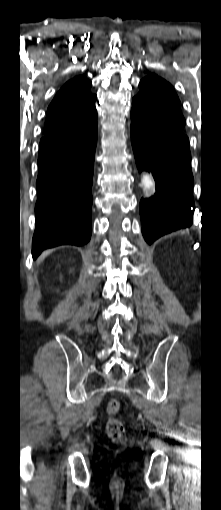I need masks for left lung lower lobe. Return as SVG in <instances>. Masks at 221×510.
<instances>
[{
    "instance_id": "left-lung-lower-lobe-1",
    "label": "left lung lower lobe",
    "mask_w": 221,
    "mask_h": 510,
    "mask_svg": "<svg viewBox=\"0 0 221 510\" xmlns=\"http://www.w3.org/2000/svg\"><path fill=\"white\" fill-rule=\"evenodd\" d=\"M131 142L139 171L154 177L156 193L142 199V233L151 244L191 226L193 175L189 145L164 133L136 108L131 110Z\"/></svg>"
}]
</instances>
